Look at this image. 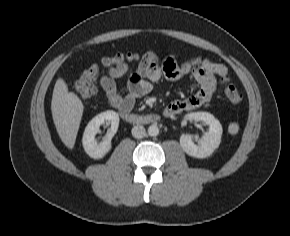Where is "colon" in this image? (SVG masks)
<instances>
[{
	"mask_svg": "<svg viewBox=\"0 0 290 236\" xmlns=\"http://www.w3.org/2000/svg\"><path fill=\"white\" fill-rule=\"evenodd\" d=\"M138 55L135 53L117 54L112 57L104 58L99 65H93L85 70L76 83V90L84 101H89L96 93L95 81L102 69H107L127 62L135 61ZM227 99L238 104L242 101L243 95L234 86L226 89Z\"/></svg>",
	"mask_w": 290,
	"mask_h": 236,
	"instance_id": "5ec220e1",
	"label": "colon"
}]
</instances>
